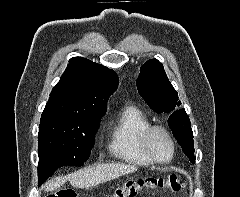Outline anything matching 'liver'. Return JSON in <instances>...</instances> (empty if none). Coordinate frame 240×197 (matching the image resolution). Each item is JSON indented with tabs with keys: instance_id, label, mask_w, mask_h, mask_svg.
Instances as JSON below:
<instances>
[{
	"instance_id": "6515ba94",
	"label": "liver",
	"mask_w": 240,
	"mask_h": 197,
	"mask_svg": "<svg viewBox=\"0 0 240 197\" xmlns=\"http://www.w3.org/2000/svg\"><path fill=\"white\" fill-rule=\"evenodd\" d=\"M135 171H137V167L133 165L99 164L85 167L68 176L51 179L43 187L47 192L54 191L69 180L74 188H89Z\"/></svg>"
}]
</instances>
